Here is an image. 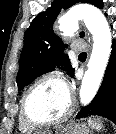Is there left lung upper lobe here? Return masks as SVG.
<instances>
[{"label": "left lung upper lobe", "instance_id": "obj_1", "mask_svg": "<svg viewBox=\"0 0 116 134\" xmlns=\"http://www.w3.org/2000/svg\"><path fill=\"white\" fill-rule=\"evenodd\" d=\"M79 2L103 7L102 0H54L49 8L34 18L25 33L17 75L18 90H22L38 76L53 71L55 67L74 76L69 57L63 53L67 44H63L61 38L53 32V23L61 8L66 9ZM80 35L83 37L84 33Z\"/></svg>", "mask_w": 116, "mask_h": 134}]
</instances>
